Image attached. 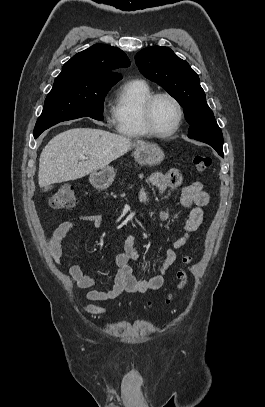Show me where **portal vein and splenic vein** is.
<instances>
[{"instance_id":"18ae733b","label":"portal vein and splenic vein","mask_w":265,"mask_h":407,"mask_svg":"<svg viewBox=\"0 0 265 407\" xmlns=\"http://www.w3.org/2000/svg\"><path fill=\"white\" fill-rule=\"evenodd\" d=\"M80 159L84 160L86 157L84 155L80 156Z\"/></svg>"}]
</instances>
